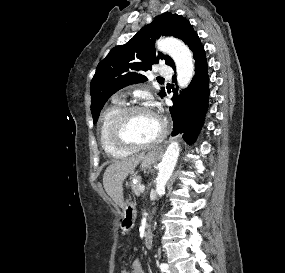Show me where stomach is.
<instances>
[{"mask_svg": "<svg viewBox=\"0 0 285 273\" xmlns=\"http://www.w3.org/2000/svg\"><path fill=\"white\" fill-rule=\"evenodd\" d=\"M159 158V152L154 150V151H150L148 152L142 162H141V169H146L148 167H150L152 164H154ZM124 219L123 222L126 221H133L136 218V209H135V204L132 203L131 201L127 200L124 203ZM123 230H126V225H124Z\"/></svg>", "mask_w": 285, "mask_h": 273, "instance_id": "obj_1", "label": "stomach"}]
</instances>
